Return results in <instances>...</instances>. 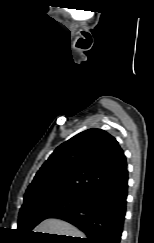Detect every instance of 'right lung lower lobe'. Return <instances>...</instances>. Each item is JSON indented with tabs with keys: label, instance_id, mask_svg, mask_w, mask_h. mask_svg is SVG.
<instances>
[{
	"label": "right lung lower lobe",
	"instance_id": "right-lung-lower-lobe-1",
	"mask_svg": "<svg viewBox=\"0 0 154 243\" xmlns=\"http://www.w3.org/2000/svg\"><path fill=\"white\" fill-rule=\"evenodd\" d=\"M128 171L96 189L83 206L54 218L65 220L86 234L76 243H120L126 213Z\"/></svg>",
	"mask_w": 154,
	"mask_h": 243
}]
</instances>
